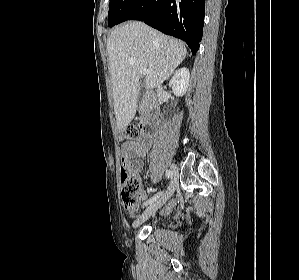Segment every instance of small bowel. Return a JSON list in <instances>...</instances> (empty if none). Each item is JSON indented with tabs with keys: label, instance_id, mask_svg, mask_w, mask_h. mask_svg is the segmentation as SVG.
Segmentation results:
<instances>
[{
	"label": "small bowel",
	"instance_id": "c3829d8e",
	"mask_svg": "<svg viewBox=\"0 0 299 280\" xmlns=\"http://www.w3.org/2000/svg\"><path fill=\"white\" fill-rule=\"evenodd\" d=\"M153 143L152 136L149 134H142L138 141L129 143L126 146H122V156L126 157L127 159L143 157L147 154L149 149L151 148ZM136 166L137 171L141 170L142 163L137 161L134 163ZM140 200H145L147 198V194L145 191H141L139 194ZM175 202H171L168 206L164 209V212H170L174 207Z\"/></svg>",
	"mask_w": 299,
	"mask_h": 280
}]
</instances>
